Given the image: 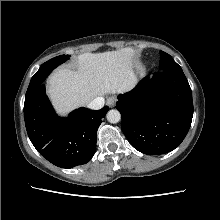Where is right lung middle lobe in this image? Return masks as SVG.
<instances>
[{"mask_svg":"<svg viewBox=\"0 0 220 220\" xmlns=\"http://www.w3.org/2000/svg\"><path fill=\"white\" fill-rule=\"evenodd\" d=\"M68 59L69 55H60L43 63L37 73L32 77L26 94L33 92L39 85L42 84V82L54 68L67 61Z\"/></svg>","mask_w":220,"mask_h":220,"instance_id":"obj_1","label":"right lung middle lobe"}]
</instances>
